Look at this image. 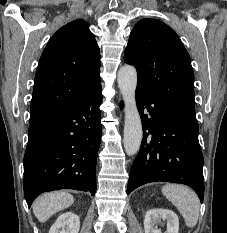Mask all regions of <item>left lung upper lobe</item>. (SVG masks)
<instances>
[{
	"label": "left lung upper lobe",
	"instance_id": "5c2ea615",
	"mask_svg": "<svg viewBox=\"0 0 227 233\" xmlns=\"http://www.w3.org/2000/svg\"><path fill=\"white\" fill-rule=\"evenodd\" d=\"M124 61L137 69V90L195 115L191 60L168 25L154 19L140 20L131 31Z\"/></svg>",
	"mask_w": 227,
	"mask_h": 233
}]
</instances>
